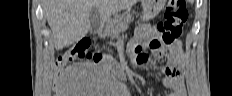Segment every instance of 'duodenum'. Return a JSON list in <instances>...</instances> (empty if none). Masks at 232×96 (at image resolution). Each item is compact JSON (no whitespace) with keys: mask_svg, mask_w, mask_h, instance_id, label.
Masks as SVG:
<instances>
[{"mask_svg":"<svg viewBox=\"0 0 232 96\" xmlns=\"http://www.w3.org/2000/svg\"><path fill=\"white\" fill-rule=\"evenodd\" d=\"M112 68L116 71L118 75H122L123 72L120 70L119 67H117L115 64H112Z\"/></svg>","mask_w":232,"mask_h":96,"instance_id":"410a0bca","label":"duodenum"}]
</instances>
